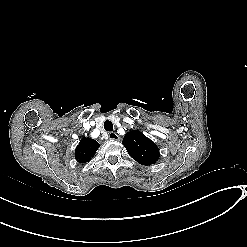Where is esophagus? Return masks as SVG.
I'll return each instance as SVG.
<instances>
[{"instance_id": "1", "label": "esophagus", "mask_w": 247, "mask_h": 247, "mask_svg": "<svg viewBox=\"0 0 247 247\" xmlns=\"http://www.w3.org/2000/svg\"><path fill=\"white\" fill-rule=\"evenodd\" d=\"M109 139L110 140H119L120 137L115 132H111V133H109Z\"/></svg>"}]
</instances>
